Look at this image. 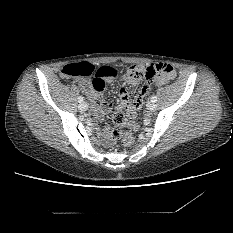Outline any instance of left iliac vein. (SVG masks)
<instances>
[{"label":"left iliac vein","instance_id":"left-iliac-vein-1","mask_svg":"<svg viewBox=\"0 0 233 233\" xmlns=\"http://www.w3.org/2000/svg\"><path fill=\"white\" fill-rule=\"evenodd\" d=\"M147 109H148L149 111H151V112L155 111V109H156V104L153 103V102L148 103V104H147Z\"/></svg>","mask_w":233,"mask_h":233}]
</instances>
